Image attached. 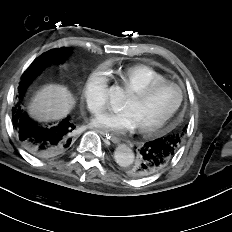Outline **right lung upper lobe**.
<instances>
[{
	"label": "right lung upper lobe",
	"instance_id": "right-lung-upper-lobe-1",
	"mask_svg": "<svg viewBox=\"0 0 232 232\" xmlns=\"http://www.w3.org/2000/svg\"><path fill=\"white\" fill-rule=\"evenodd\" d=\"M52 51H55L58 55V58L62 61L65 60V57L69 56L70 55V52L68 54H64L63 53V49L59 50V49H54V50H50L49 52H52Z\"/></svg>",
	"mask_w": 232,
	"mask_h": 232
}]
</instances>
